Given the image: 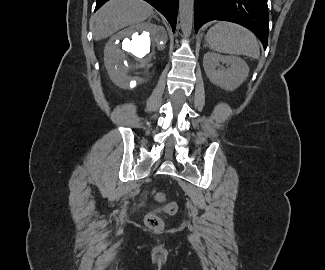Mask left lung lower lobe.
Instances as JSON below:
<instances>
[{
  "label": "left lung lower lobe",
  "mask_w": 325,
  "mask_h": 270,
  "mask_svg": "<svg viewBox=\"0 0 325 270\" xmlns=\"http://www.w3.org/2000/svg\"><path fill=\"white\" fill-rule=\"evenodd\" d=\"M211 20L230 21L250 29L266 49L269 30L267 0H195V31Z\"/></svg>",
  "instance_id": "1"
}]
</instances>
